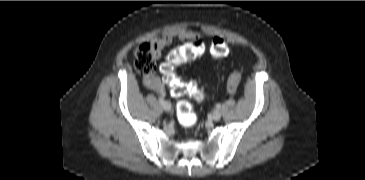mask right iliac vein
Here are the masks:
<instances>
[{
	"label": "right iliac vein",
	"instance_id": "right-iliac-vein-1",
	"mask_svg": "<svg viewBox=\"0 0 365 180\" xmlns=\"http://www.w3.org/2000/svg\"><path fill=\"white\" fill-rule=\"evenodd\" d=\"M162 107L167 112L171 110V104L168 101H164Z\"/></svg>",
	"mask_w": 365,
	"mask_h": 180
}]
</instances>
